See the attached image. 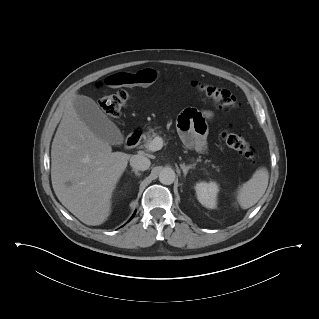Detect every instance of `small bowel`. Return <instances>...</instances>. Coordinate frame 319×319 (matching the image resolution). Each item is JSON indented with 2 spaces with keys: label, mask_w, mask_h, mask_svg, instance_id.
Masks as SVG:
<instances>
[{
  "label": "small bowel",
  "mask_w": 319,
  "mask_h": 319,
  "mask_svg": "<svg viewBox=\"0 0 319 319\" xmlns=\"http://www.w3.org/2000/svg\"><path fill=\"white\" fill-rule=\"evenodd\" d=\"M131 79L129 85H138L141 87L151 86L157 78L153 69H144L136 74L126 75ZM111 86L117 85L114 80L107 82ZM214 114L212 111H198L188 108L183 111L178 120V129L183 143L200 153L207 150V123L212 120Z\"/></svg>",
  "instance_id": "1"
}]
</instances>
